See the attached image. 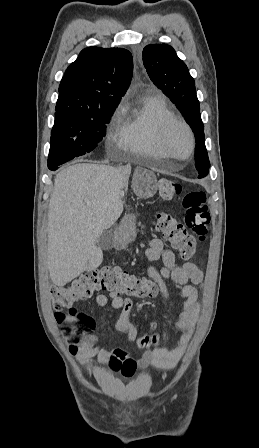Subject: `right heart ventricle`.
<instances>
[{
	"label": "right heart ventricle",
	"mask_w": 259,
	"mask_h": 448,
	"mask_svg": "<svg viewBox=\"0 0 259 448\" xmlns=\"http://www.w3.org/2000/svg\"><path fill=\"white\" fill-rule=\"evenodd\" d=\"M173 117L174 112L159 92L140 95L133 101H122L115 115V124L122 147L129 150L124 155L125 163H145L143 155L146 151L160 149L157 140L159 127Z\"/></svg>",
	"instance_id": "e07e8e85"
}]
</instances>
